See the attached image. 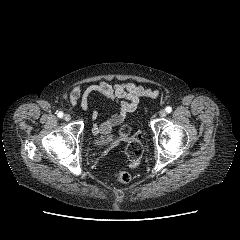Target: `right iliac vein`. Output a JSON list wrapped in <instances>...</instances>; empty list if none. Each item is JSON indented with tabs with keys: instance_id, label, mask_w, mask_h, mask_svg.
<instances>
[{
	"instance_id": "right-iliac-vein-1",
	"label": "right iliac vein",
	"mask_w": 240,
	"mask_h": 240,
	"mask_svg": "<svg viewBox=\"0 0 240 240\" xmlns=\"http://www.w3.org/2000/svg\"><path fill=\"white\" fill-rule=\"evenodd\" d=\"M64 120L65 121H70L71 120V115L70 114H65L64 115Z\"/></svg>"
}]
</instances>
